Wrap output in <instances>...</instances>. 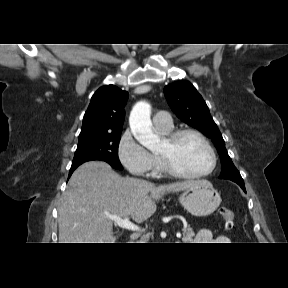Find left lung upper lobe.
Returning a JSON list of instances; mask_svg holds the SVG:
<instances>
[{
  "label": "left lung upper lobe",
  "mask_w": 288,
  "mask_h": 288,
  "mask_svg": "<svg viewBox=\"0 0 288 288\" xmlns=\"http://www.w3.org/2000/svg\"><path fill=\"white\" fill-rule=\"evenodd\" d=\"M164 94L169 106L182 121L212 139L222 164L219 178L228 179L244 186L239 171L228 155L223 137L196 88L189 81H177L167 85L164 88Z\"/></svg>",
  "instance_id": "left-lung-upper-lobe-1"
}]
</instances>
